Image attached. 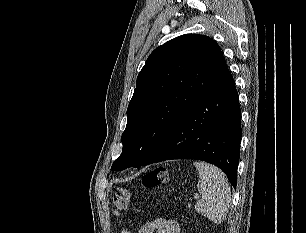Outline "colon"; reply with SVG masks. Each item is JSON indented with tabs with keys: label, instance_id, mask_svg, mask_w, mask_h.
Here are the masks:
<instances>
[{
	"label": "colon",
	"instance_id": "colon-1",
	"mask_svg": "<svg viewBox=\"0 0 306 233\" xmlns=\"http://www.w3.org/2000/svg\"><path fill=\"white\" fill-rule=\"evenodd\" d=\"M167 169L163 166L156 167L147 172L142 179V183L146 188H156L167 182ZM131 194L126 188H119L113 198L114 210L119 213L129 207Z\"/></svg>",
	"mask_w": 306,
	"mask_h": 233
}]
</instances>
